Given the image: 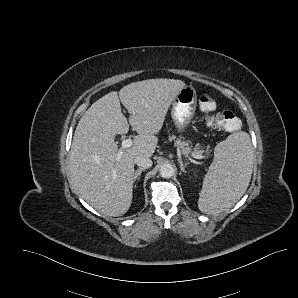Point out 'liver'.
<instances>
[{
  "instance_id": "6515ba94",
  "label": "liver",
  "mask_w": 298,
  "mask_h": 298,
  "mask_svg": "<svg viewBox=\"0 0 298 298\" xmlns=\"http://www.w3.org/2000/svg\"><path fill=\"white\" fill-rule=\"evenodd\" d=\"M186 83L180 79L156 78L132 82L94 102L76 127L69 158L72 181L81 197L107 216L125 214L132 203L134 159L152 157L156 136L163 127L172 101ZM127 109V119L121 110ZM129 126L138 135L120 160L115 142Z\"/></svg>"
}]
</instances>
